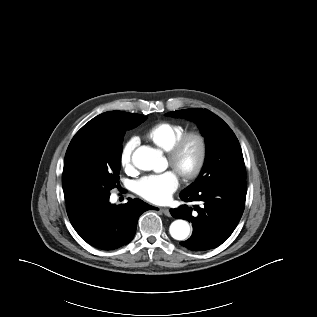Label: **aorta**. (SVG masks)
I'll use <instances>...</instances> for the list:
<instances>
[{"label": "aorta", "mask_w": 317, "mask_h": 317, "mask_svg": "<svg viewBox=\"0 0 317 317\" xmlns=\"http://www.w3.org/2000/svg\"><path fill=\"white\" fill-rule=\"evenodd\" d=\"M133 164L140 170L161 172L166 169L167 162L162 156V151L149 146H140L132 154ZM172 238L185 240L190 234L189 223L177 219L169 227Z\"/></svg>", "instance_id": "aorta-1"}]
</instances>
